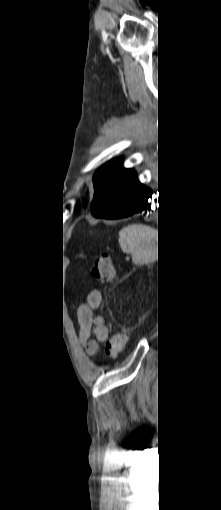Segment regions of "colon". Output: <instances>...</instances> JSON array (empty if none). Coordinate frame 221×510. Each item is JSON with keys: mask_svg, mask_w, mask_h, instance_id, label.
Returning <instances> with one entry per match:
<instances>
[{"mask_svg": "<svg viewBox=\"0 0 221 510\" xmlns=\"http://www.w3.org/2000/svg\"><path fill=\"white\" fill-rule=\"evenodd\" d=\"M91 272L98 281L111 282L115 279L113 262L107 255H101L94 259ZM128 339L129 329L126 327L113 334L107 342V355L111 358L116 357L125 349Z\"/></svg>", "mask_w": 221, "mask_h": 510, "instance_id": "colon-1", "label": "colon"}]
</instances>
